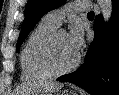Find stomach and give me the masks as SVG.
I'll list each match as a JSON object with an SVG mask.
<instances>
[{
  "label": "stomach",
  "instance_id": "stomach-1",
  "mask_svg": "<svg viewBox=\"0 0 119 95\" xmlns=\"http://www.w3.org/2000/svg\"><path fill=\"white\" fill-rule=\"evenodd\" d=\"M44 95H52V94H44ZM54 95H79L76 91L73 90H64L58 94H54Z\"/></svg>",
  "mask_w": 119,
  "mask_h": 95
}]
</instances>
